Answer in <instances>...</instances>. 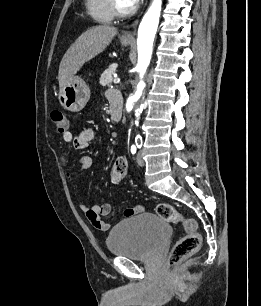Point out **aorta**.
<instances>
[{"label": "aorta", "mask_w": 261, "mask_h": 306, "mask_svg": "<svg viewBox=\"0 0 261 306\" xmlns=\"http://www.w3.org/2000/svg\"><path fill=\"white\" fill-rule=\"evenodd\" d=\"M161 6L162 0H153L139 25L137 38V71L141 80L137 85L136 92L127 100L126 110L128 113H131L138 107V102L145 87V83L142 79L150 64L153 51V41L159 24Z\"/></svg>", "instance_id": "obj_1"}]
</instances>
